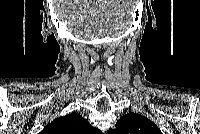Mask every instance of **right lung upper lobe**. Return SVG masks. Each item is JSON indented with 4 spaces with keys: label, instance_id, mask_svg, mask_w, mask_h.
<instances>
[{
    "label": "right lung upper lobe",
    "instance_id": "obj_1",
    "mask_svg": "<svg viewBox=\"0 0 200 134\" xmlns=\"http://www.w3.org/2000/svg\"><path fill=\"white\" fill-rule=\"evenodd\" d=\"M100 131L77 113L59 117L49 123L43 134H98Z\"/></svg>",
    "mask_w": 200,
    "mask_h": 134
}]
</instances>
